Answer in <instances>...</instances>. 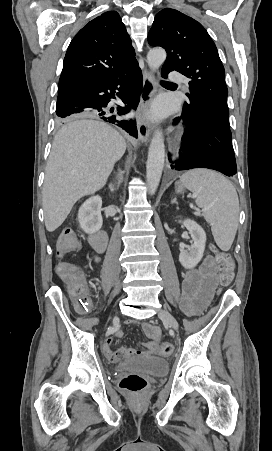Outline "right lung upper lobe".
I'll return each instance as SVG.
<instances>
[{
    "instance_id": "1",
    "label": "right lung upper lobe",
    "mask_w": 272,
    "mask_h": 451,
    "mask_svg": "<svg viewBox=\"0 0 272 451\" xmlns=\"http://www.w3.org/2000/svg\"><path fill=\"white\" fill-rule=\"evenodd\" d=\"M135 51L116 11H108L87 23L66 52L58 93L109 81L136 63Z\"/></svg>"
}]
</instances>
